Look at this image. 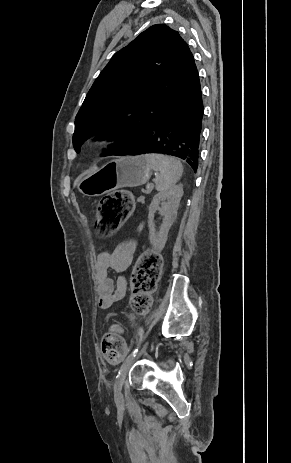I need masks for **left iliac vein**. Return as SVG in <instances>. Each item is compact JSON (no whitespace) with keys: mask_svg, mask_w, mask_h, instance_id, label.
<instances>
[{"mask_svg":"<svg viewBox=\"0 0 291 463\" xmlns=\"http://www.w3.org/2000/svg\"><path fill=\"white\" fill-rule=\"evenodd\" d=\"M147 346H148V342L145 343L142 350L138 354V357L141 356L146 351ZM130 366H131V363L125 366V368L120 372V374L118 375L114 383L115 402L117 404H122L123 402L122 387L124 385Z\"/></svg>","mask_w":291,"mask_h":463,"instance_id":"1","label":"left iliac vein"}]
</instances>
